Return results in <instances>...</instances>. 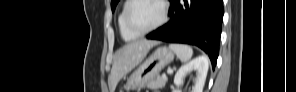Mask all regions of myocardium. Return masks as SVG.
Here are the masks:
<instances>
[{
    "instance_id": "1",
    "label": "myocardium",
    "mask_w": 296,
    "mask_h": 92,
    "mask_svg": "<svg viewBox=\"0 0 296 92\" xmlns=\"http://www.w3.org/2000/svg\"><path fill=\"white\" fill-rule=\"evenodd\" d=\"M142 0H132L128 3L126 10H125V15H124V21H125V25L127 27V29L134 35L136 36H144L156 29H158L159 27H161L165 21L167 20V15H168V8H167V4L165 3V1L163 0H153L159 3L160 7H161V17L158 20V22L156 24H154L152 27L146 29V30H137L133 27V25L131 24L130 21V12L131 9L133 8V6Z\"/></svg>"
}]
</instances>
